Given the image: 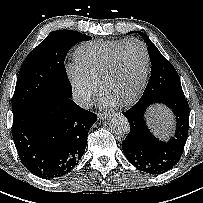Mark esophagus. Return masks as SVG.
Wrapping results in <instances>:
<instances>
[{
	"instance_id": "esophagus-1",
	"label": "esophagus",
	"mask_w": 203,
	"mask_h": 203,
	"mask_svg": "<svg viewBox=\"0 0 203 203\" xmlns=\"http://www.w3.org/2000/svg\"><path fill=\"white\" fill-rule=\"evenodd\" d=\"M97 117H98L99 120H104V119L109 117V114L105 113V112L104 113H98Z\"/></svg>"
}]
</instances>
